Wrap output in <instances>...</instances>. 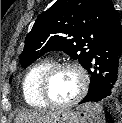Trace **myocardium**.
Instances as JSON below:
<instances>
[{
	"label": "myocardium",
	"mask_w": 122,
	"mask_h": 123,
	"mask_svg": "<svg viewBox=\"0 0 122 123\" xmlns=\"http://www.w3.org/2000/svg\"><path fill=\"white\" fill-rule=\"evenodd\" d=\"M64 68H71L75 70L80 76L81 85H80V89L78 93L76 94L74 98H72L71 100L67 102L59 103V102L53 101L50 98L48 89H49V85H50L51 79L54 76V74L57 71L64 69ZM88 84H89L88 76L85 70L80 65L73 63V62L55 63L47 69V71L44 73L41 79L40 96L42 100L47 104V106L55 107V108H67V107H71L77 104L85 96L87 89H88Z\"/></svg>",
	"instance_id": "myocardium-1"
}]
</instances>
